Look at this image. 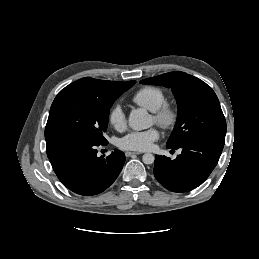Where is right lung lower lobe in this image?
Listing matches in <instances>:
<instances>
[{
    "label": "right lung lower lobe",
    "mask_w": 259,
    "mask_h": 259,
    "mask_svg": "<svg viewBox=\"0 0 259 259\" xmlns=\"http://www.w3.org/2000/svg\"><path fill=\"white\" fill-rule=\"evenodd\" d=\"M106 144L78 139L46 142L47 156L69 190L84 196L96 195L115 181L125 162L119 150L98 157L97 148Z\"/></svg>",
    "instance_id": "right-lung-lower-lobe-1"
}]
</instances>
